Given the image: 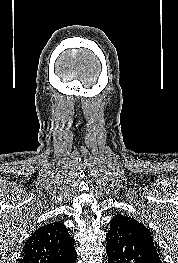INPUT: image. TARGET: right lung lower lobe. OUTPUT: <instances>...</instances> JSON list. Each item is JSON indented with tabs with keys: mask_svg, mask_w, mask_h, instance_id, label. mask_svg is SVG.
<instances>
[{
	"mask_svg": "<svg viewBox=\"0 0 178 263\" xmlns=\"http://www.w3.org/2000/svg\"><path fill=\"white\" fill-rule=\"evenodd\" d=\"M76 260H77V253L75 252L72 255H70L68 258L61 261L60 263H76Z\"/></svg>",
	"mask_w": 178,
	"mask_h": 263,
	"instance_id": "right-lung-lower-lobe-1",
	"label": "right lung lower lobe"
}]
</instances>
